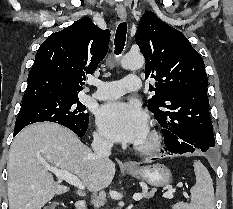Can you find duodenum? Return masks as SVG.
Returning a JSON list of instances; mask_svg holds the SVG:
<instances>
[{
	"label": "duodenum",
	"mask_w": 233,
	"mask_h": 209,
	"mask_svg": "<svg viewBox=\"0 0 233 209\" xmlns=\"http://www.w3.org/2000/svg\"><path fill=\"white\" fill-rule=\"evenodd\" d=\"M76 209H86V202L83 200H78L75 203Z\"/></svg>",
	"instance_id": "obj_1"
}]
</instances>
